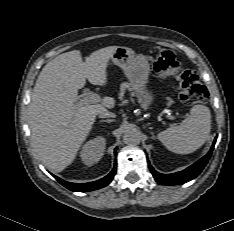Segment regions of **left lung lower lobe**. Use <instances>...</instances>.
<instances>
[{"instance_id": "1", "label": "left lung lower lobe", "mask_w": 234, "mask_h": 231, "mask_svg": "<svg viewBox=\"0 0 234 231\" xmlns=\"http://www.w3.org/2000/svg\"><path fill=\"white\" fill-rule=\"evenodd\" d=\"M215 142H216V138L214 140V143ZM214 143H213V145H212V147L207 155H205L203 158H201L195 164L191 165L190 167H188L187 169H185L183 171L173 173V174H161V173L156 172L150 164L148 166H149L150 171L153 174L155 180L160 184L178 185V184L186 183V182L194 179L195 177H197L201 173V171L203 170V168L207 164L208 160L210 159V156H211L212 151L214 149Z\"/></svg>"}]
</instances>
